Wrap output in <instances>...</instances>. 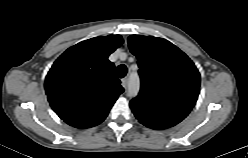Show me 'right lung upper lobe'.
Returning a JSON list of instances; mask_svg holds the SVG:
<instances>
[{"mask_svg": "<svg viewBox=\"0 0 248 158\" xmlns=\"http://www.w3.org/2000/svg\"><path fill=\"white\" fill-rule=\"evenodd\" d=\"M123 43L120 35L95 37L67 49L45 79L56 114L76 128L100 124L124 91L108 56Z\"/></svg>", "mask_w": 248, "mask_h": 158, "instance_id": "obj_1", "label": "right lung upper lobe"}]
</instances>
